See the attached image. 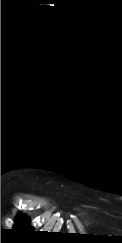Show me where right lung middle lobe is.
I'll list each match as a JSON object with an SVG mask.
<instances>
[{
  "label": "right lung middle lobe",
  "mask_w": 122,
  "mask_h": 243,
  "mask_svg": "<svg viewBox=\"0 0 122 243\" xmlns=\"http://www.w3.org/2000/svg\"><path fill=\"white\" fill-rule=\"evenodd\" d=\"M14 230L23 233L33 231L32 227L29 226V221L26 218L21 217H19V219L16 220V226Z\"/></svg>",
  "instance_id": "1"
}]
</instances>
